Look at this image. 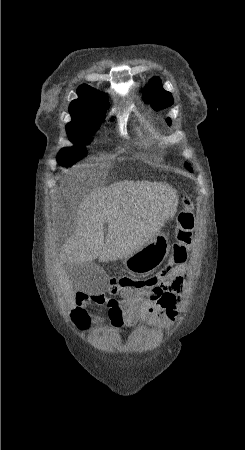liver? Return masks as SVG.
<instances>
[{
  "label": "liver",
  "instance_id": "1",
  "mask_svg": "<svg viewBox=\"0 0 245 450\" xmlns=\"http://www.w3.org/2000/svg\"><path fill=\"white\" fill-rule=\"evenodd\" d=\"M177 204V191L162 182L119 181L84 194L76 211V229L61 248L56 264L70 306L75 307V298L69 268L98 257L109 262L130 256L153 239L174 215Z\"/></svg>",
  "mask_w": 245,
  "mask_h": 450
}]
</instances>
